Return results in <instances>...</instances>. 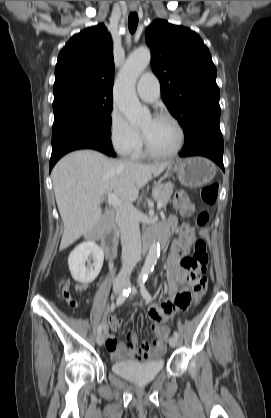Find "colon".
I'll return each instance as SVG.
<instances>
[{"label":"colon","mask_w":271,"mask_h":418,"mask_svg":"<svg viewBox=\"0 0 271 418\" xmlns=\"http://www.w3.org/2000/svg\"><path fill=\"white\" fill-rule=\"evenodd\" d=\"M218 184L211 183L204 186L200 191L201 201L209 206L215 204L218 197ZM175 208L185 216H189L193 213L194 207L190 200L189 193L186 190H179L174 196ZM209 219V214L206 211H201L197 215L196 224L201 227L204 226ZM209 263V255L207 252L206 243L202 239H197L194 243V251L192 257H183L181 260V266L184 270L191 272L195 277L194 294L197 298L201 297L207 288V278L204 275ZM62 296L67 299L72 306L76 303L71 299L68 286L65 285L62 288ZM188 299H182V303L187 305Z\"/></svg>","instance_id":"colon-1"}]
</instances>
